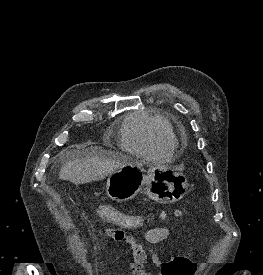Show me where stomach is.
<instances>
[{
	"label": "stomach",
	"instance_id": "1",
	"mask_svg": "<svg viewBox=\"0 0 263 275\" xmlns=\"http://www.w3.org/2000/svg\"><path fill=\"white\" fill-rule=\"evenodd\" d=\"M143 166L141 161H132L111 173L106 184L107 195L117 202L128 201L145 185L148 197L162 204L184 197L189 185L182 173L165 166H150L148 170Z\"/></svg>",
	"mask_w": 263,
	"mask_h": 275
}]
</instances>
